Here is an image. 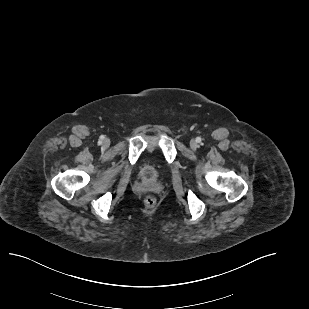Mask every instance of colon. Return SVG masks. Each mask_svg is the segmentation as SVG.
I'll return each instance as SVG.
<instances>
[{"label":"colon","mask_w":309,"mask_h":309,"mask_svg":"<svg viewBox=\"0 0 309 309\" xmlns=\"http://www.w3.org/2000/svg\"><path fill=\"white\" fill-rule=\"evenodd\" d=\"M144 204L148 208H153L156 205V199L154 197L148 196L145 198Z\"/></svg>","instance_id":"colon-1"}]
</instances>
